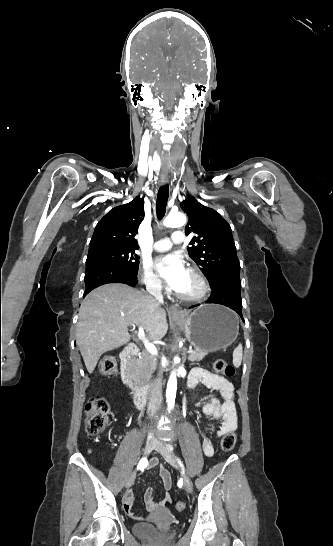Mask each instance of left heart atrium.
Returning a JSON list of instances; mask_svg holds the SVG:
<instances>
[{"label":"left heart atrium","instance_id":"39dd6f15","mask_svg":"<svg viewBox=\"0 0 333 546\" xmlns=\"http://www.w3.org/2000/svg\"><path fill=\"white\" fill-rule=\"evenodd\" d=\"M155 268L164 275L167 284L175 291L181 292L187 285L190 272L177 255L160 256L155 261Z\"/></svg>","mask_w":333,"mask_h":546}]
</instances>
